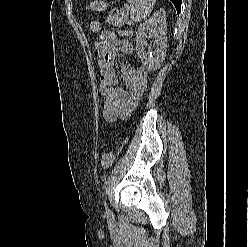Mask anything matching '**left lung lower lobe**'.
I'll return each mask as SVG.
<instances>
[{
    "label": "left lung lower lobe",
    "instance_id": "1",
    "mask_svg": "<svg viewBox=\"0 0 248 247\" xmlns=\"http://www.w3.org/2000/svg\"><path fill=\"white\" fill-rule=\"evenodd\" d=\"M177 9V13L180 12L182 0H171Z\"/></svg>",
    "mask_w": 248,
    "mask_h": 247
}]
</instances>
